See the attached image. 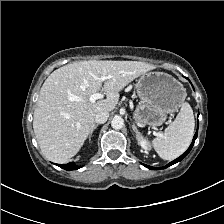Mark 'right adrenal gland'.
Returning a JSON list of instances; mask_svg holds the SVG:
<instances>
[{"instance_id": "2a0ac1e0", "label": "right adrenal gland", "mask_w": 224, "mask_h": 224, "mask_svg": "<svg viewBox=\"0 0 224 224\" xmlns=\"http://www.w3.org/2000/svg\"><path fill=\"white\" fill-rule=\"evenodd\" d=\"M98 126H99V124H94V125H93L92 130L90 131L89 138H91L92 133L94 132V130H95Z\"/></svg>"}]
</instances>
